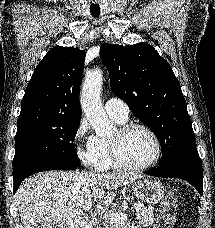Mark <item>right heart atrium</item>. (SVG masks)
Listing matches in <instances>:
<instances>
[{
  "label": "right heart atrium",
  "mask_w": 215,
  "mask_h": 228,
  "mask_svg": "<svg viewBox=\"0 0 215 228\" xmlns=\"http://www.w3.org/2000/svg\"><path fill=\"white\" fill-rule=\"evenodd\" d=\"M76 157L83 164H91L95 155L96 137L91 134L90 125L85 117L80 118L72 136Z\"/></svg>",
  "instance_id": "obj_1"
}]
</instances>
